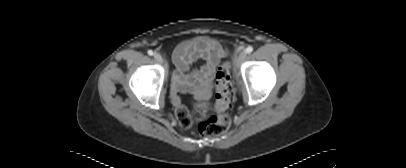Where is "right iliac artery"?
I'll use <instances>...</instances> for the list:
<instances>
[{"label": "right iliac artery", "mask_w": 406, "mask_h": 168, "mask_svg": "<svg viewBox=\"0 0 406 168\" xmlns=\"http://www.w3.org/2000/svg\"><path fill=\"white\" fill-rule=\"evenodd\" d=\"M148 55H150V56H152L154 53H153V51L152 50H148Z\"/></svg>", "instance_id": "right-iliac-artery-1"}]
</instances>
